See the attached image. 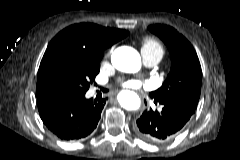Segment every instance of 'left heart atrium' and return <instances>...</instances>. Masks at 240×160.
<instances>
[{
    "instance_id": "39dd6f15",
    "label": "left heart atrium",
    "mask_w": 240,
    "mask_h": 160,
    "mask_svg": "<svg viewBox=\"0 0 240 160\" xmlns=\"http://www.w3.org/2000/svg\"><path fill=\"white\" fill-rule=\"evenodd\" d=\"M131 85H132L131 82H125V83H124V86H126V87H130Z\"/></svg>"
}]
</instances>
